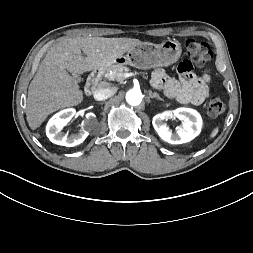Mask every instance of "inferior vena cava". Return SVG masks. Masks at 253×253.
Here are the masks:
<instances>
[{"label":"inferior vena cava","instance_id":"obj_1","mask_svg":"<svg viewBox=\"0 0 253 253\" xmlns=\"http://www.w3.org/2000/svg\"><path fill=\"white\" fill-rule=\"evenodd\" d=\"M115 91L110 88H98L94 92V99L97 101H103L113 96Z\"/></svg>","mask_w":253,"mask_h":253}]
</instances>
